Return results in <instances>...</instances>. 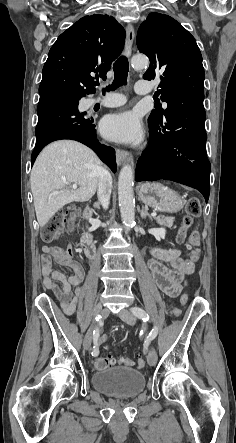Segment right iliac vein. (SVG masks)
Returning <instances> with one entry per match:
<instances>
[{"label": "right iliac vein", "mask_w": 236, "mask_h": 443, "mask_svg": "<svg viewBox=\"0 0 236 443\" xmlns=\"http://www.w3.org/2000/svg\"><path fill=\"white\" fill-rule=\"evenodd\" d=\"M110 313L109 308H104L101 311V316L102 318H106ZM94 329V326L92 325L88 331L85 334L84 340H83V347L84 349L88 350L91 347V343H92V331Z\"/></svg>", "instance_id": "63e3f726"}]
</instances>
